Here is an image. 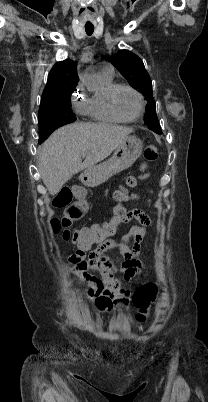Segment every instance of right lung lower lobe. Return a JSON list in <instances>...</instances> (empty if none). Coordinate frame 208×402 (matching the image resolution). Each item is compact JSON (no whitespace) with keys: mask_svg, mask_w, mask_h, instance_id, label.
<instances>
[{"mask_svg":"<svg viewBox=\"0 0 208 402\" xmlns=\"http://www.w3.org/2000/svg\"><path fill=\"white\" fill-rule=\"evenodd\" d=\"M65 125V123L59 122L55 119L47 120L39 123L40 132L44 134L46 138L50 136V134L56 130L57 128Z\"/></svg>","mask_w":208,"mask_h":402,"instance_id":"98d812e1","label":"right lung lower lobe"}]
</instances>
